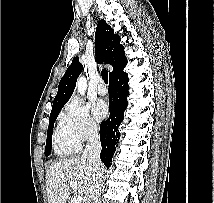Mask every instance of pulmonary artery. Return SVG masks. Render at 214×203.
<instances>
[{
    "instance_id": "1",
    "label": "pulmonary artery",
    "mask_w": 214,
    "mask_h": 203,
    "mask_svg": "<svg viewBox=\"0 0 214 203\" xmlns=\"http://www.w3.org/2000/svg\"><path fill=\"white\" fill-rule=\"evenodd\" d=\"M97 92L99 93V94H105L106 92H107V88H106V86H105V84H104V82L103 81H100L99 83H98V85H97Z\"/></svg>"
}]
</instances>
